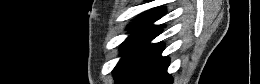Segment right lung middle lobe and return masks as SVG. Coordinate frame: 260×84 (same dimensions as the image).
<instances>
[{
    "mask_svg": "<svg viewBox=\"0 0 260 84\" xmlns=\"http://www.w3.org/2000/svg\"><path fill=\"white\" fill-rule=\"evenodd\" d=\"M122 44L120 60L114 74L117 84H132L160 57L163 44H149L161 33L160 28H137Z\"/></svg>",
    "mask_w": 260,
    "mask_h": 84,
    "instance_id": "1",
    "label": "right lung middle lobe"
}]
</instances>
